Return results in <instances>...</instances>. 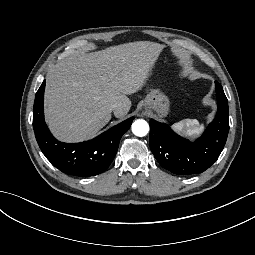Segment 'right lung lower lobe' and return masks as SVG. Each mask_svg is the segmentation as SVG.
<instances>
[{
  "label": "right lung lower lobe",
  "instance_id": "1",
  "mask_svg": "<svg viewBox=\"0 0 255 255\" xmlns=\"http://www.w3.org/2000/svg\"><path fill=\"white\" fill-rule=\"evenodd\" d=\"M45 80L36 93L33 108V128L40 149L50 163L63 173L88 177L104 172L113 161L121 137L130 128L131 117L102 133L94 140L63 143L56 140L44 121Z\"/></svg>",
  "mask_w": 255,
  "mask_h": 255
}]
</instances>
